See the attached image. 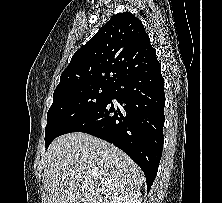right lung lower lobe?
I'll list each match as a JSON object with an SVG mask.
<instances>
[{"label": "right lung lower lobe", "mask_w": 222, "mask_h": 203, "mask_svg": "<svg viewBox=\"0 0 222 203\" xmlns=\"http://www.w3.org/2000/svg\"><path fill=\"white\" fill-rule=\"evenodd\" d=\"M164 105V79L156 58L116 81L101 106L60 135L84 132L114 144L140 166L149 190L162 155Z\"/></svg>", "instance_id": "right-lung-lower-lobe-1"}]
</instances>
